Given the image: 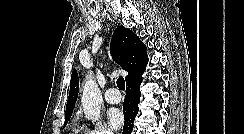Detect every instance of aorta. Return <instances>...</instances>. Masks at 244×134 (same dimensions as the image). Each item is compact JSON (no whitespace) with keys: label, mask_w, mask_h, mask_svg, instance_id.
Wrapping results in <instances>:
<instances>
[{"label":"aorta","mask_w":244,"mask_h":134,"mask_svg":"<svg viewBox=\"0 0 244 134\" xmlns=\"http://www.w3.org/2000/svg\"><path fill=\"white\" fill-rule=\"evenodd\" d=\"M81 101L85 118L91 122L98 121L100 118L102 95L92 74L88 76L84 84Z\"/></svg>","instance_id":"762f6f07"}]
</instances>
